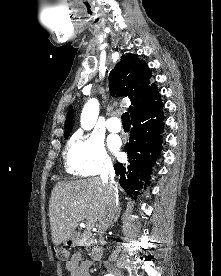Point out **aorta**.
<instances>
[{
    "label": "aorta",
    "mask_w": 221,
    "mask_h": 276,
    "mask_svg": "<svg viewBox=\"0 0 221 276\" xmlns=\"http://www.w3.org/2000/svg\"><path fill=\"white\" fill-rule=\"evenodd\" d=\"M99 114V103L96 99H90L84 106L81 113V126L85 130H90L96 124Z\"/></svg>",
    "instance_id": "1"
}]
</instances>
